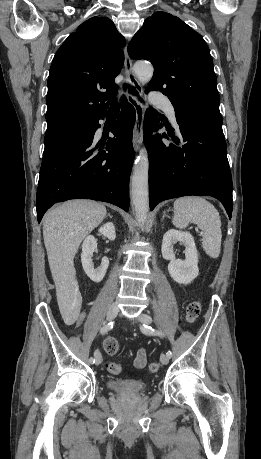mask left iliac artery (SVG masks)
Returning <instances> with one entry per match:
<instances>
[{
  "mask_svg": "<svg viewBox=\"0 0 261 459\" xmlns=\"http://www.w3.org/2000/svg\"><path fill=\"white\" fill-rule=\"evenodd\" d=\"M141 331H142L143 333H145V334H149V335H158V336H160V337H164V334H163L161 331L155 330V329H153L152 327H150V326H148V325H143V326H141ZM166 354H167L169 357H171V355H172L171 351H168Z\"/></svg>",
  "mask_w": 261,
  "mask_h": 459,
  "instance_id": "left-iliac-artery-1",
  "label": "left iliac artery"
}]
</instances>
